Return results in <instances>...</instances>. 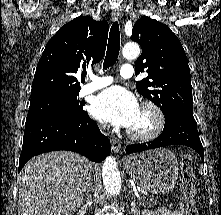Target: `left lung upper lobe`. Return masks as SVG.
I'll return each mask as SVG.
<instances>
[{
    "label": "left lung upper lobe",
    "instance_id": "1",
    "mask_svg": "<svg viewBox=\"0 0 221 215\" xmlns=\"http://www.w3.org/2000/svg\"><path fill=\"white\" fill-rule=\"evenodd\" d=\"M131 39L142 48L136 74L148 73L136 83L137 91L159 106L165 119L193 117L190 68L179 39L168 26L145 16L134 24Z\"/></svg>",
    "mask_w": 221,
    "mask_h": 215
}]
</instances>
